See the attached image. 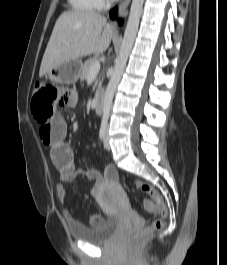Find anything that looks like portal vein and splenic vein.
<instances>
[{"label": "portal vein and splenic vein", "instance_id": "obj_1", "mask_svg": "<svg viewBox=\"0 0 227 265\" xmlns=\"http://www.w3.org/2000/svg\"><path fill=\"white\" fill-rule=\"evenodd\" d=\"M100 70V63H96L91 66L89 76H95L99 73Z\"/></svg>", "mask_w": 227, "mask_h": 265}]
</instances>
